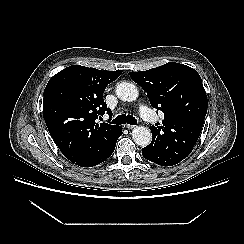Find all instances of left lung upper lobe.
I'll return each instance as SVG.
<instances>
[{
    "mask_svg": "<svg viewBox=\"0 0 244 244\" xmlns=\"http://www.w3.org/2000/svg\"><path fill=\"white\" fill-rule=\"evenodd\" d=\"M130 75L147 92L151 105L164 113L162 126L150 125L148 146L155 152L157 164H178L191 153L207 113L201 77L193 68L174 62Z\"/></svg>",
    "mask_w": 244,
    "mask_h": 244,
    "instance_id": "obj_1",
    "label": "left lung upper lobe"
}]
</instances>
